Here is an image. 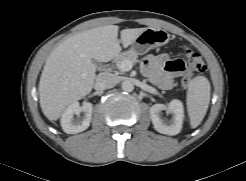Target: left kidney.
I'll use <instances>...</instances> for the list:
<instances>
[{
    "mask_svg": "<svg viewBox=\"0 0 246 181\" xmlns=\"http://www.w3.org/2000/svg\"><path fill=\"white\" fill-rule=\"evenodd\" d=\"M166 110L172 114L171 121L162 117V111ZM150 117L156 131L166 135H176L182 129L184 119L183 103L180 100H172L168 106L164 104H155L150 108Z\"/></svg>",
    "mask_w": 246,
    "mask_h": 181,
    "instance_id": "left-kidney-1",
    "label": "left kidney"
}]
</instances>
